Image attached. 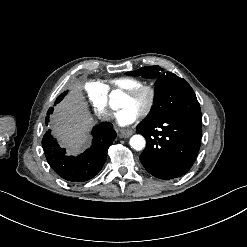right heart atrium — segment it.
Returning a JSON list of instances; mask_svg holds the SVG:
<instances>
[{
	"label": "right heart atrium",
	"mask_w": 247,
	"mask_h": 247,
	"mask_svg": "<svg viewBox=\"0 0 247 247\" xmlns=\"http://www.w3.org/2000/svg\"><path fill=\"white\" fill-rule=\"evenodd\" d=\"M88 92L92 95L93 105L96 108H99L102 116H105V105L109 100V95L106 93V87L98 82H91L88 85Z\"/></svg>",
	"instance_id": "d8ad5b80"
}]
</instances>
